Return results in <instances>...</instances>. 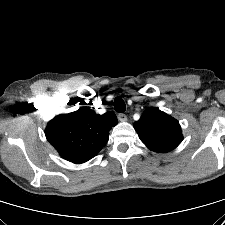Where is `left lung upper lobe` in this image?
<instances>
[{
	"label": "left lung upper lobe",
	"mask_w": 225,
	"mask_h": 225,
	"mask_svg": "<svg viewBox=\"0 0 225 225\" xmlns=\"http://www.w3.org/2000/svg\"><path fill=\"white\" fill-rule=\"evenodd\" d=\"M134 128L141 141L159 153L175 149L183 140L179 122L156 107L148 108Z\"/></svg>",
	"instance_id": "obj_1"
}]
</instances>
